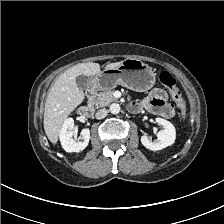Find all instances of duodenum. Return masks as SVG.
I'll return each instance as SVG.
<instances>
[{
    "label": "duodenum",
    "instance_id": "obj_1",
    "mask_svg": "<svg viewBox=\"0 0 224 224\" xmlns=\"http://www.w3.org/2000/svg\"><path fill=\"white\" fill-rule=\"evenodd\" d=\"M94 94H95V92H94L93 89L88 90V92H87V99L88 100L78 110L79 115L81 117L87 118L92 114V112H93L92 99L94 97ZM130 108L134 111H138V110L141 109L140 106L136 103L131 104Z\"/></svg>",
    "mask_w": 224,
    "mask_h": 224
}]
</instances>
